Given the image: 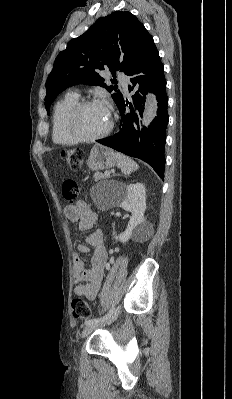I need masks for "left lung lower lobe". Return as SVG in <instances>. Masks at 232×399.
I'll use <instances>...</instances> for the list:
<instances>
[{"label":"left lung lower lobe","instance_id":"left-lung-lower-lobe-1","mask_svg":"<svg viewBox=\"0 0 232 399\" xmlns=\"http://www.w3.org/2000/svg\"><path fill=\"white\" fill-rule=\"evenodd\" d=\"M127 75L130 76L131 82L129 92L134 91V95L130 102L122 98L118 104L121 115L119 129L114 135L97 140V142L145 161L163 180L166 128L169 118L167 113L168 97L164 67L153 39L147 42ZM148 91L157 97V117L147 128L140 130L139 121L144 110V96ZM127 107L130 110L126 111Z\"/></svg>","mask_w":232,"mask_h":399}]
</instances>
